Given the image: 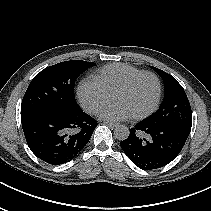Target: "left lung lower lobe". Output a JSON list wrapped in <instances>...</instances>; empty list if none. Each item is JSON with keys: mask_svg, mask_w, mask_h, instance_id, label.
I'll return each mask as SVG.
<instances>
[{"mask_svg": "<svg viewBox=\"0 0 211 211\" xmlns=\"http://www.w3.org/2000/svg\"><path fill=\"white\" fill-rule=\"evenodd\" d=\"M188 135L176 127L143 120L130 130L129 137L120 142V146L136 166L153 170L175 159Z\"/></svg>", "mask_w": 211, "mask_h": 211, "instance_id": "obj_1", "label": "left lung lower lobe"}]
</instances>
